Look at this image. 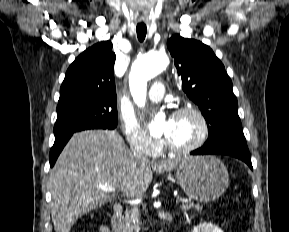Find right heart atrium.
<instances>
[{
	"instance_id": "1",
	"label": "right heart atrium",
	"mask_w": 289,
	"mask_h": 232,
	"mask_svg": "<svg viewBox=\"0 0 289 232\" xmlns=\"http://www.w3.org/2000/svg\"><path fill=\"white\" fill-rule=\"evenodd\" d=\"M123 131L133 151L148 156L156 155L160 151L161 141L152 138L135 119L124 117Z\"/></svg>"
}]
</instances>
